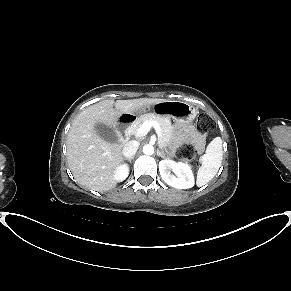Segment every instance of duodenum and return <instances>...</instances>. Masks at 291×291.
<instances>
[{
  "mask_svg": "<svg viewBox=\"0 0 291 291\" xmlns=\"http://www.w3.org/2000/svg\"><path fill=\"white\" fill-rule=\"evenodd\" d=\"M133 115H127L118 125V132L121 140H126L129 137L128 127L134 122Z\"/></svg>",
  "mask_w": 291,
  "mask_h": 291,
  "instance_id": "1",
  "label": "duodenum"
}]
</instances>
